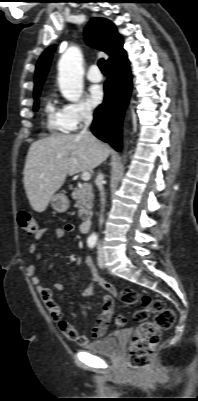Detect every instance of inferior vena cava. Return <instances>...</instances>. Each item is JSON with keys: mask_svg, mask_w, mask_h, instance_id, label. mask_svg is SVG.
<instances>
[{"mask_svg": "<svg viewBox=\"0 0 198 401\" xmlns=\"http://www.w3.org/2000/svg\"><path fill=\"white\" fill-rule=\"evenodd\" d=\"M92 112L90 110H85L83 112V121H84V128L82 129V131L80 132V134L85 135L86 137H89L91 139L94 138V136L92 135V133L89 131L88 127L90 126L91 122H92ZM103 179H104V175L102 173H98L97 178H96V184L97 187L100 191V198H101V204H102V212L104 210V205H105V192H104V188H103ZM100 225L103 222V215L100 216Z\"/></svg>", "mask_w": 198, "mask_h": 401, "instance_id": "inferior-vena-cava-1", "label": "inferior vena cava"}]
</instances>
